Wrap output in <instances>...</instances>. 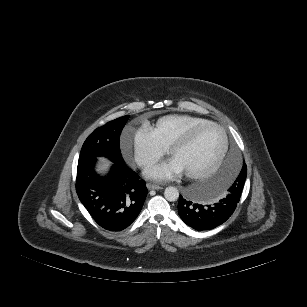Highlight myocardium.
Segmentation results:
<instances>
[{"label":"myocardium","instance_id":"obj_1","mask_svg":"<svg viewBox=\"0 0 307 307\" xmlns=\"http://www.w3.org/2000/svg\"><path fill=\"white\" fill-rule=\"evenodd\" d=\"M209 126L217 128L222 135L223 144H222L221 151L219 155L217 156V158L215 159L214 163L209 168L202 170V171H198V172H186L185 174L189 178L202 179V178L209 177L215 171H217V169L220 167L221 163L223 162L227 154L228 148H229V137H228L226 130L219 123L208 121V122L192 127L188 132H186L184 135H182L180 138H178L171 144L169 153L171 156H173V154L177 150L188 145L195 138V136L197 135L199 131Z\"/></svg>","mask_w":307,"mask_h":307}]
</instances>
